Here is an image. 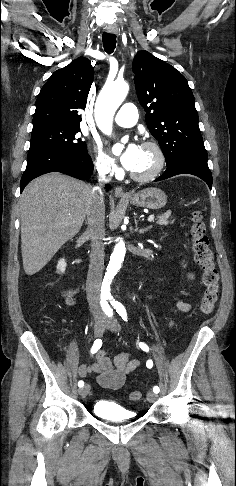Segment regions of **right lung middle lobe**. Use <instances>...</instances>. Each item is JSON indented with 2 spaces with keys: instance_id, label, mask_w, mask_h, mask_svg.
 Returning a JSON list of instances; mask_svg holds the SVG:
<instances>
[{
  "instance_id": "dd1d6c3e",
  "label": "right lung middle lobe",
  "mask_w": 236,
  "mask_h": 486,
  "mask_svg": "<svg viewBox=\"0 0 236 486\" xmlns=\"http://www.w3.org/2000/svg\"><path fill=\"white\" fill-rule=\"evenodd\" d=\"M79 125L43 124L33 127L29 151L56 150L87 152L85 142L78 138Z\"/></svg>"
}]
</instances>
